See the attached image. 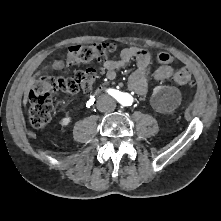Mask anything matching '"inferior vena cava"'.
Masks as SVG:
<instances>
[{
    "mask_svg": "<svg viewBox=\"0 0 221 221\" xmlns=\"http://www.w3.org/2000/svg\"><path fill=\"white\" fill-rule=\"evenodd\" d=\"M116 107L115 100L108 95H103L97 101V108L101 112L111 111Z\"/></svg>",
    "mask_w": 221,
    "mask_h": 221,
    "instance_id": "inferior-vena-cava-1",
    "label": "inferior vena cava"
}]
</instances>
